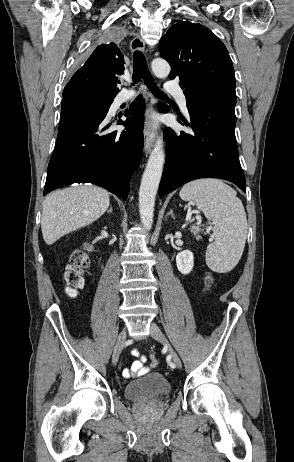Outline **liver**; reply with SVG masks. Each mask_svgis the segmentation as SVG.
I'll return each mask as SVG.
<instances>
[{"label": "liver", "instance_id": "liver-1", "mask_svg": "<svg viewBox=\"0 0 294 462\" xmlns=\"http://www.w3.org/2000/svg\"><path fill=\"white\" fill-rule=\"evenodd\" d=\"M110 204L109 193L96 186H77L48 195L43 202L41 229L45 243L99 219Z\"/></svg>", "mask_w": 294, "mask_h": 462}]
</instances>
